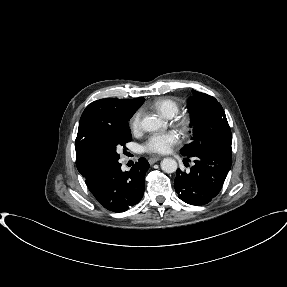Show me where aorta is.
<instances>
[{
  "label": "aorta",
  "instance_id": "1",
  "mask_svg": "<svg viewBox=\"0 0 287 287\" xmlns=\"http://www.w3.org/2000/svg\"><path fill=\"white\" fill-rule=\"evenodd\" d=\"M162 124V121L155 116H146L141 122V126L145 131H156L162 127ZM160 165L165 173H174L178 167L176 160L173 158H164Z\"/></svg>",
  "mask_w": 287,
  "mask_h": 287
}]
</instances>
